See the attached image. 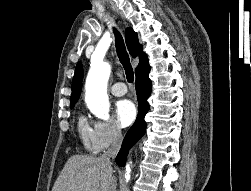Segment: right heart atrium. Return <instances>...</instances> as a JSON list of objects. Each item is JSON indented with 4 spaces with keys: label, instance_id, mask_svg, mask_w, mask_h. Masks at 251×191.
Instances as JSON below:
<instances>
[{
    "label": "right heart atrium",
    "instance_id": "obj_1",
    "mask_svg": "<svg viewBox=\"0 0 251 191\" xmlns=\"http://www.w3.org/2000/svg\"><path fill=\"white\" fill-rule=\"evenodd\" d=\"M93 129L94 143L98 151H103L112 145L119 144L122 140L120 129L110 120L97 121Z\"/></svg>",
    "mask_w": 251,
    "mask_h": 191
}]
</instances>
